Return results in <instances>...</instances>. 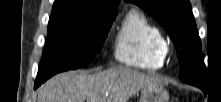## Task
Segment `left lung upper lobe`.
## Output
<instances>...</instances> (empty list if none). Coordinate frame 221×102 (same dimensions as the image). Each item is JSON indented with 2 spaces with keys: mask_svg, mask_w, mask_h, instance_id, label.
Here are the masks:
<instances>
[{
  "mask_svg": "<svg viewBox=\"0 0 221 102\" xmlns=\"http://www.w3.org/2000/svg\"><path fill=\"white\" fill-rule=\"evenodd\" d=\"M153 16L170 34L179 58V78L202 89L207 71L201 60V41L189 0H125Z\"/></svg>",
  "mask_w": 221,
  "mask_h": 102,
  "instance_id": "obj_1",
  "label": "left lung upper lobe"
}]
</instances>
